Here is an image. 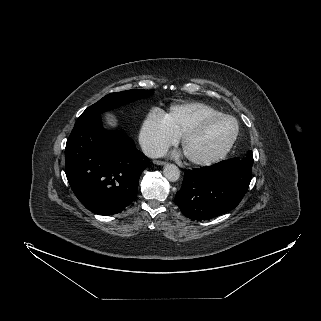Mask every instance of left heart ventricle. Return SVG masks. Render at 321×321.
I'll use <instances>...</instances> for the list:
<instances>
[{"mask_svg":"<svg viewBox=\"0 0 321 321\" xmlns=\"http://www.w3.org/2000/svg\"><path fill=\"white\" fill-rule=\"evenodd\" d=\"M233 132L234 123L231 120H215L189 138L183 146V152L196 158L212 157L227 143Z\"/></svg>","mask_w":321,"mask_h":321,"instance_id":"obj_1","label":"left heart ventricle"}]
</instances>
